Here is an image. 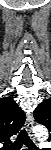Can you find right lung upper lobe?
<instances>
[{
    "label": "right lung upper lobe",
    "instance_id": "cb5924a9",
    "mask_svg": "<svg viewBox=\"0 0 51 150\" xmlns=\"http://www.w3.org/2000/svg\"><path fill=\"white\" fill-rule=\"evenodd\" d=\"M25 114L11 98L0 99V142L9 144V138L18 133Z\"/></svg>",
    "mask_w": 51,
    "mask_h": 150
}]
</instances>
